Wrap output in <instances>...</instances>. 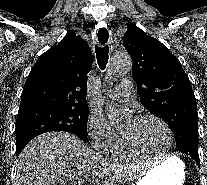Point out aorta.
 Instances as JSON below:
<instances>
[{
	"label": "aorta",
	"mask_w": 207,
	"mask_h": 185,
	"mask_svg": "<svg viewBox=\"0 0 207 185\" xmlns=\"http://www.w3.org/2000/svg\"><path fill=\"white\" fill-rule=\"evenodd\" d=\"M132 69L131 57L127 54L114 56L107 65L105 78L107 81L119 78ZM107 114L111 124L116 128H121L126 120L124 113L116 110L112 105H107Z\"/></svg>",
	"instance_id": "obj_1"
}]
</instances>
